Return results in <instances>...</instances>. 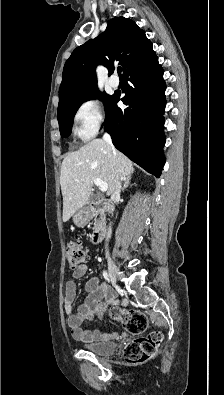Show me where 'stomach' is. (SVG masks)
<instances>
[{
    "label": "stomach",
    "instance_id": "1",
    "mask_svg": "<svg viewBox=\"0 0 224 395\" xmlns=\"http://www.w3.org/2000/svg\"><path fill=\"white\" fill-rule=\"evenodd\" d=\"M90 220V214L85 208L79 209L73 215V222L75 225L82 227L85 226Z\"/></svg>",
    "mask_w": 224,
    "mask_h": 395
}]
</instances>
